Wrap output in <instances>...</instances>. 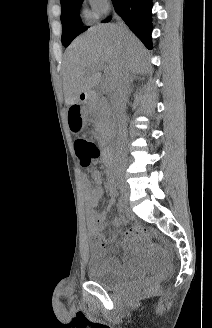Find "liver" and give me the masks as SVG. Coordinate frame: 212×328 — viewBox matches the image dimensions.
<instances>
[{"label": "liver", "mask_w": 212, "mask_h": 328, "mask_svg": "<svg viewBox=\"0 0 212 328\" xmlns=\"http://www.w3.org/2000/svg\"><path fill=\"white\" fill-rule=\"evenodd\" d=\"M145 55L141 42L126 27L120 31L110 23L90 28L65 52V103L71 105L81 94L97 87L102 82L100 71L106 64L108 76L104 87L112 91L121 73L135 75L147 66Z\"/></svg>", "instance_id": "6515ba94"}]
</instances>
